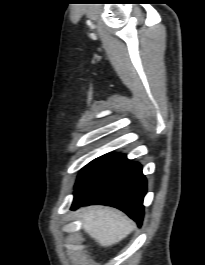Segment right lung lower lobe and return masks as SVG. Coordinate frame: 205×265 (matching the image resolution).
<instances>
[{
  "label": "right lung lower lobe",
  "instance_id": "obj_1",
  "mask_svg": "<svg viewBox=\"0 0 205 265\" xmlns=\"http://www.w3.org/2000/svg\"><path fill=\"white\" fill-rule=\"evenodd\" d=\"M75 187L71 210L92 204L109 205L141 225L147 188L139 163L118 153L105 154Z\"/></svg>",
  "mask_w": 205,
  "mask_h": 265
}]
</instances>
